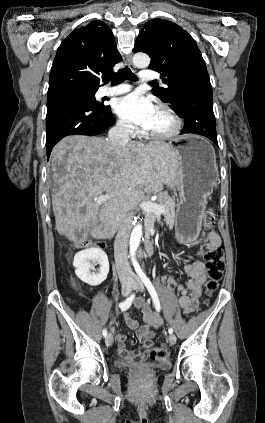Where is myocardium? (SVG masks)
Instances as JSON below:
<instances>
[{
	"mask_svg": "<svg viewBox=\"0 0 265 423\" xmlns=\"http://www.w3.org/2000/svg\"><path fill=\"white\" fill-rule=\"evenodd\" d=\"M157 108L163 111L168 117H170V119L173 121V127L171 130L166 132H153L146 130V133L152 138L161 140L170 139L179 135L183 127V121L179 115L166 104L161 103L157 106Z\"/></svg>",
	"mask_w": 265,
	"mask_h": 423,
	"instance_id": "myocardium-1",
	"label": "myocardium"
}]
</instances>
